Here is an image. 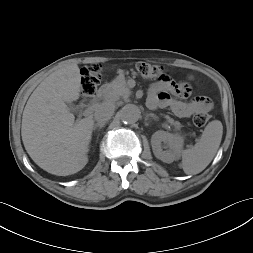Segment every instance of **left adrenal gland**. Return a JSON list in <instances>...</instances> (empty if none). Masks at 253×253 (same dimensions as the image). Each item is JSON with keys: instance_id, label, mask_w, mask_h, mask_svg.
<instances>
[{"instance_id": "obj_1", "label": "left adrenal gland", "mask_w": 253, "mask_h": 253, "mask_svg": "<svg viewBox=\"0 0 253 253\" xmlns=\"http://www.w3.org/2000/svg\"><path fill=\"white\" fill-rule=\"evenodd\" d=\"M148 117H152L153 119H157V117L154 114H149Z\"/></svg>"}]
</instances>
